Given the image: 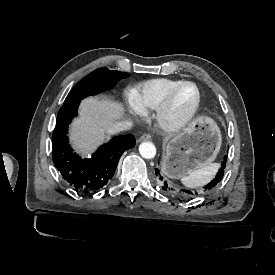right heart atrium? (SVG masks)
Masks as SVG:
<instances>
[{"mask_svg": "<svg viewBox=\"0 0 275 275\" xmlns=\"http://www.w3.org/2000/svg\"><path fill=\"white\" fill-rule=\"evenodd\" d=\"M129 112L135 118H139L142 116V112L134 106L132 100H129Z\"/></svg>", "mask_w": 275, "mask_h": 275, "instance_id": "right-heart-atrium-1", "label": "right heart atrium"}]
</instances>
